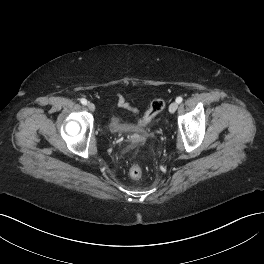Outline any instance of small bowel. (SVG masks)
Returning a JSON list of instances; mask_svg holds the SVG:
<instances>
[{"instance_id":"small-bowel-1","label":"small bowel","mask_w":264,"mask_h":264,"mask_svg":"<svg viewBox=\"0 0 264 264\" xmlns=\"http://www.w3.org/2000/svg\"><path fill=\"white\" fill-rule=\"evenodd\" d=\"M118 106L128 110L129 112H131L133 114H136L138 111L135 107H133L132 105L127 103L126 100L124 99V97L121 95L118 97Z\"/></svg>"}]
</instances>
